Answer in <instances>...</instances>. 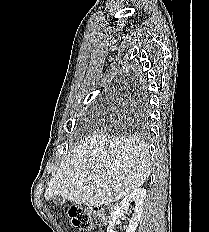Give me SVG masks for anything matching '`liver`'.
I'll list each match as a JSON object with an SVG mask.
<instances>
[{
	"mask_svg": "<svg viewBox=\"0 0 209 232\" xmlns=\"http://www.w3.org/2000/svg\"><path fill=\"white\" fill-rule=\"evenodd\" d=\"M149 146L136 136L95 134L63 159L45 190L77 205H107L129 195L150 176Z\"/></svg>",
	"mask_w": 209,
	"mask_h": 232,
	"instance_id": "obj_1",
	"label": "liver"
}]
</instances>
